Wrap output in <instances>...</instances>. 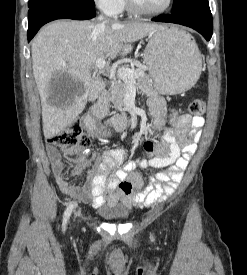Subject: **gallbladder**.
<instances>
[{"label":"gallbladder","mask_w":247,"mask_h":275,"mask_svg":"<svg viewBox=\"0 0 247 275\" xmlns=\"http://www.w3.org/2000/svg\"><path fill=\"white\" fill-rule=\"evenodd\" d=\"M78 84L79 82L72 79L68 74L58 73L50 80L49 92L51 95L62 93L74 95Z\"/></svg>","instance_id":"gallbladder-1"}]
</instances>
